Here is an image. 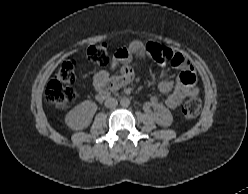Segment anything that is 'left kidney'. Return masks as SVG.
<instances>
[{
  "mask_svg": "<svg viewBox=\"0 0 248 194\" xmlns=\"http://www.w3.org/2000/svg\"><path fill=\"white\" fill-rule=\"evenodd\" d=\"M154 120L158 125L168 127L172 124L173 117L167 108L159 106L158 112L154 114Z\"/></svg>",
  "mask_w": 248,
  "mask_h": 194,
  "instance_id": "obj_1",
  "label": "left kidney"
}]
</instances>
